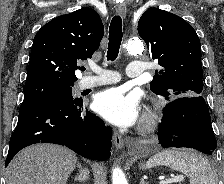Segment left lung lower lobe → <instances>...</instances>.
<instances>
[{
	"label": "left lung lower lobe",
	"mask_w": 224,
	"mask_h": 184,
	"mask_svg": "<svg viewBox=\"0 0 224 184\" xmlns=\"http://www.w3.org/2000/svg\"><path fill=\"white\" fill-rule=\"evenodd\" d=\"M158 138L163 148L189 147L211 155L217 143L204 98L195 96L171 100L164 108Z\"/></svg>",
	"instance_id": "obj_1"
}]
</instances>
